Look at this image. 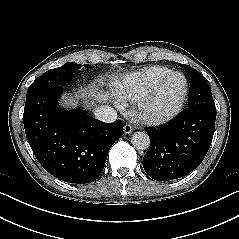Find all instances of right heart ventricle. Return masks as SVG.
I'll return each mask as SVG.
<instances>
[{
	"instance_id": "right-heart-ventricle-1",
	"label": "right heart ventricle",
	"mask_w": 239,
	"mask_h": 239,
	"mask_svg": "<svg viewBox=\"0 0 239 239\" xmlns=\"http://www.w3.org/2000/svg\"><path fill=\"white\" fill-rule=\"evenodd\" d=\"M169 72L171 70L166 67L153 65L122 76L113 84L117 101L121 104L137 102L157 79Z\"/></svg>"
}]
</instances>
